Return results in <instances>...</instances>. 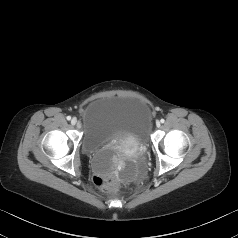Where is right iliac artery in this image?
Segmentation results:
<instances>
[{"instance_id":"obj_1","label":"right iliac artery","mask_w":238,"mask_h":238,"mask_svg":"<svg viewBox=\"0 0 238 238\" xmlns=\"http://www.w3.org/2000/svg\"><path fill=\"white\" fill-rule=\"evenodd\" d=\"M66 118H67V120H71V116H67Z\"/></svg>"}]
</instances>
